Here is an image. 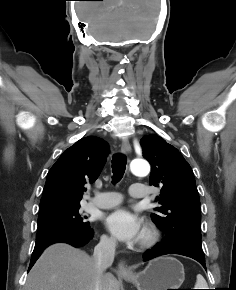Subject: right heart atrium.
<instances>
[{
  "instance_id": "d8ad5b80",
  "label": "right heart atrium",
  "mask_w": 236,
  "mask_h": 290,
  "mask_svg": "<svg viewBox=\"0 0 236 290\" xmlns=\"http://www.w3.org/2000/svg\"><path fill=\"white\" fill-rule=\"evenodd\" d=\"M101 242L103 245L108 246V247H112L115 244V241L112 237L104 235L101 239Z\"/></svg>"
}]
</instances>
